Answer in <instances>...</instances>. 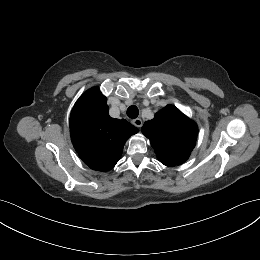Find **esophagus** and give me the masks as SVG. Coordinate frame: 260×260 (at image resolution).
Segmentation results:
<instances>
[{"instance_id": "1", "label": "esophagus", "mask_w": 260, "mask_h": 260, "mask_svg": "<svg viewBox=\"0 0 260 260\" xmlns=\"http://www.w3.org/2000/svg\"><path fill=\"white\" fill-rule=\"evenodd\" d=\"M132 124L138 128H141L143 125V122L140 118H136V119L132 120Z\"/></svg>"}]
</instances>
